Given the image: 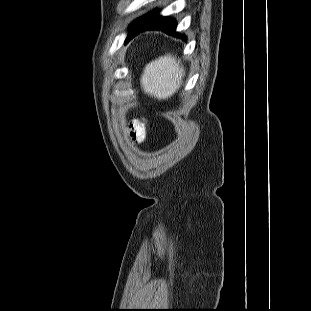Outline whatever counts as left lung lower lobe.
I'll return each instance as SVG.
<instances>
[{
    "label": "left lung lower lobe",
    "mask_w": 311,
    "mask_h": 311,
    "mask_svg": "<svg viewBox=\"0 0 311 311\" xmlns=\"http://www.w3.org/2000/svg\"><path fill=\"white\" fill-rule=\"evenodd\" d=\"M146 30H161L168 35H172L178 38L186 39L184 35L176 32V21L175 19L162 17L157 15L156 12L150 13L138 20H136L129 31V35L125 43L131 40L133 37L138 35L140 32Z\"/></svg>",
    "instance_id": "1"
}]
</instances>
